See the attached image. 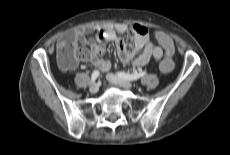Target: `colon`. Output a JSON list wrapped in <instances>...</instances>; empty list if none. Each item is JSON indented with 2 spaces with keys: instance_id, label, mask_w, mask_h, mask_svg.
Instances as JSON below:
<instances>
[{
  "instance_id": "colon-1",
  "label": "colon",
  "mask_w": 230,
  "mask_h": 155,
  "mask_svg": "<svg viewBox=\"0 0 230 155\" xmlns=\"http://www.w3.org/2000/svg\"><path fill=\"white\" fill-rule=\"evenodd\" d=\"M91 52L82 47H73L72 44H60L57 49V62L65 69L69 70L75 66L78 61H85L90 59ZM171 55H167L165 59L161 61L160 69L163 72L169 73L174 70L175 64Z\"/></svg>"
}]
</instances>
